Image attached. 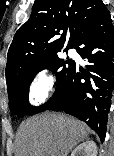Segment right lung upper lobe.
I'll return each mask as SVG.
<instances>
[{"instance_id": "cb5924a9", "label": "right lung upper lobe", "mask_w": 114, "mask_h": 156, "mask_svg": "<svg viewBox=\"0 0 114 156\" xmlns=\"http://www.w3.org/2000/svg\"><path fill=\"white\" fill-rule=\"evenodd\" d=\"M101 0H35L32 14L15 33L7 54L6 82L57 56L67 32L65 49L73 48L80 34L104 10ZM57 35H61L56 39Z\"/></svg>"}]
</instances>
